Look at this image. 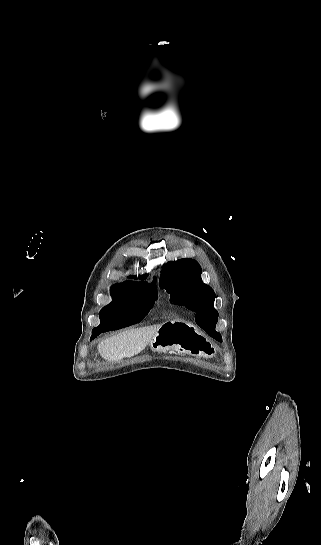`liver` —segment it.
Here are the masks:
<instances>
[{
	"label": "liver",
	"mask_w": 321,
	"mask_h": 545,
	"mask_svg": "<svg viewBox=\"0 0 321 545\" xmlns=\"http://www.w3.org/2000/svg\"><path fill=\"white\" fill-rule=\"evenodd\" d=\"M160 327L161 325H150V327L128 329L116 337L101 341L97 347L98 353L106 361H122L124 357H135L147 347Z\"/></svg>",
	"instance_id": "obj_1"
}]
</instances>
